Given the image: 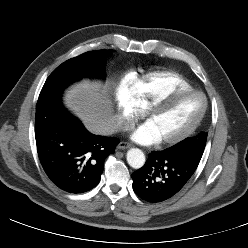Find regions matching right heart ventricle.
<instances>
[{
  "instance_id": "obj_1",
  "label": "right heart ventricle",
  "mask_w": 248,
  "mask_h": 248,
  "mask_svg": "<svg viewBox=\"0 0 248 248\" xmlns=\"http://www.w3.org/2000/svg\"><path fill=\"white\" fill-rule=\"evenodd\" d=\"M128 88L135 94L143 109L157 98L179 89H192L191 84L173 71H157L141 78L133 77L127 81Z\"/></svg>"
}]
</instances>
